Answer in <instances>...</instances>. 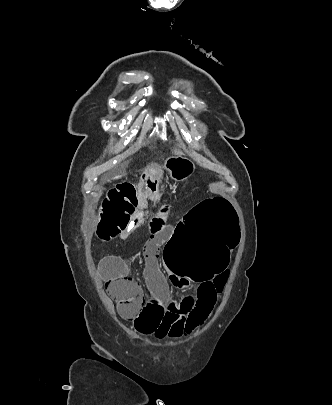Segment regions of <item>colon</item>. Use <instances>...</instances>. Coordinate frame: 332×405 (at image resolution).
<instances>
[{"instance_id": "1", "label": "colon", "mask_w": 332, "mask_h": 405, "mask_svg": "<svg viewBox=\"0 0 332 405\" xmlns=\"http://www.w3.org/2000/svg\"><path fill=\"white\" fill-rule=\"evenodd\" d=\"M137 190L138 184L126 182L108 191L96 228L100 239L109 241L129 229L138 206ZM186 219L176 220L164 248L163 268H168V275H183L184 281H211L215 275L211 287L217 298L228 279L226 269L231 268L228 257H235L241 243L238 212L225 197H202L189 206ZM107 289L123 316L135 319L142 311L144 299L134 279H111Z\"/></svg>"}]
</instances>
